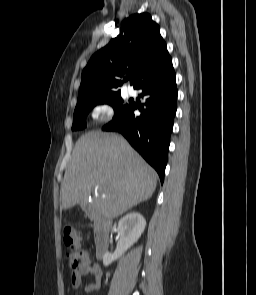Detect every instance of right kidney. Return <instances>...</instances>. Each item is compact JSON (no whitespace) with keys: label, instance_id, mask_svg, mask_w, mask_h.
<instances>
[{"label":"right kidney","instance_id":"obj_1","mask_svg":"<svg viewBox=\"0 0 256 295\" xmlns=\"http://www.w3.org/2000/svg\"><path fill=\"white\" fill-rule=\"evenodd\" d=\"M146 227L145 218L138 212H132L118 222L120 239L114 253L106 252L103 255L104 266L110 265L119 259L140 238Z\"/></svg>","mask_w":256,"mask_h":295}]
</instances>
